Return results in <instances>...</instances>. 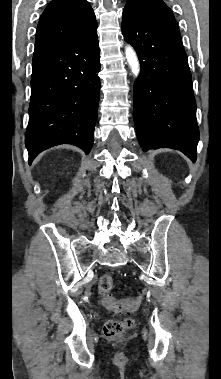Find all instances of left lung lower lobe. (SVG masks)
<instances>
[{"label":"left lung lower lobe","instance_id":"obj_1","mask_svg":"<svg viewBox=\"0 0 221 379\" xmlns=\"http://www.w3.org/2000/svg\"><path fill=\"white\" fill-rule=\"evenodd\" d=\"M122 33L136 50L142 69L133 89L140 145L144 151L177 149L195 162L199 141L196 101L177 24L158 20L135 3H127Z\"/></svg>","mask_w":221,"mask_h":379}]
</instances>
